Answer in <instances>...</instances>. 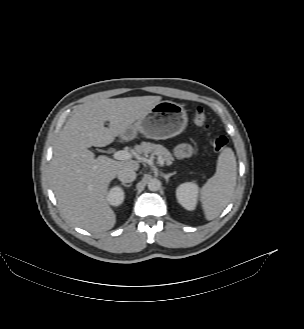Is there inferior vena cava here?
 Segmentation results:
<instances>
[{
    "mask_svg": "<svg viewBox=\"0 0 304 329\" xmlns=\"http://www.w3.org/2000/svg\"><path fill=\"white\" fill-rule=\"evenodd\" d=\"M118 179L123 183H130L136 179V172L132 169H121L117 173Z\"/></svg>",
    "mask_w": 304,
    "mask_h": 329,
    "instance_id": "obj_1",
    "label": "inferior vena cava"
}]
</instances>
